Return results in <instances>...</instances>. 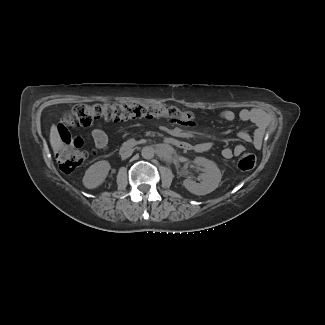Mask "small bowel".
<instances>
[{
	"mask_svg": "<svg viewBox=\"0 0 325 325\" xmlns=\"http://www.w3.org/2000/svg\"><path fill=\"white\" fill-rule=\"evenodd\" d=\"M218 117L225 122H233L236 118L244 122H252L256 125L257 131L262 132L263 128L268 122V117L265 112L259 109H242L238 114L231 110H223L219 113ZM57 132L60 136V141L68 146L76 148L84 147L86 144H90L92 139L98 150H106L108 147V137L101 127H97L90 134L84 136L77 134L74 135L69 132V128L66 122L59 121L57 123ZM240 138L244 141L250 140V135L246 131L240 133ZM211 148L209 142H201L193 145V149L197 152H206ZM245 150L243 144H238L232 148H225L222 150V156L225 159H231L239 156Z\"/></svg>",
	"mask_w": 325,
	"mask_h": 325,
	"instance_id": "obj_1",
	"label": "small bowel"
}]
</instances>
